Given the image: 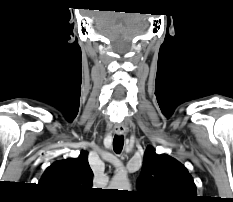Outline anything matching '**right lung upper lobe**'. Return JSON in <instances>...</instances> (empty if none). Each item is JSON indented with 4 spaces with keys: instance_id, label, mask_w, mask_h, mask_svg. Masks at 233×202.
<instances>
[{
    "instance_id": "1",
    "label": "right lung upper lobe",
    "mask_w": 233,
    "mask_h": 202,
    "mask_svg": "<svg viewBox=\"0 0 233 202\" xmlns=\"http://www.w3.org/2000/svg\"><path fill=\"white\" fill-rule=\"evenodd\" d=\"M92 179L88 153L82 151L77 159L69 158L49 166L39 183L60 195L79 196L91 190Z\"/></svg>"
}]
</instances>
